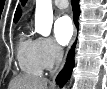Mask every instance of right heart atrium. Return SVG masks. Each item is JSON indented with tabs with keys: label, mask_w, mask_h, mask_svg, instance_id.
Returning <instances> with one entry per match:
<instances>
[{
	"label": "right heart atrium",
	"mask_w": 107,
	"mask_h": 89,
	"mask_svg": "<svg viewBox=\"0 0 107 89\" xmlns=\"http://www.w3.org/2000/svg\"><path fill=\"white\" fill-rule=\"evenodd\" d=\"M38 41L39 58L43 68L52 67L61 56V49L50 37H40Z\"/></svg>",
	"instance_id": "right-heart-atrium-1"
}]
</instances>
